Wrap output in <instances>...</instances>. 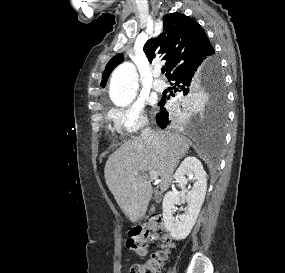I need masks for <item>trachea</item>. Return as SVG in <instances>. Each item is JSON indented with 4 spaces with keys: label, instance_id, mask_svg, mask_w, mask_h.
I'll return each mask as SVG.
<instances>
[{
    "label": "trachea",
    "instance_id": "obj_1",
    "mask_svg": "<svg viewBox=\"0 0 285 273\" xmlns=\"http://www.w3.org/2000/svg\"><path fill=\"white\" fill-rule=\"evenodd\" d=\"M165 71H166V68H165V67H163V68L161 69L162 74H164V73H165Z\"/></svg>",
    "mask_w": 285,
    "mask_h": 273
}]
</instances>
